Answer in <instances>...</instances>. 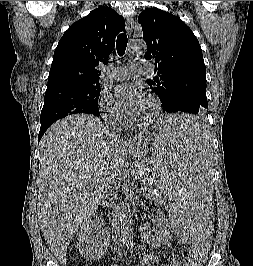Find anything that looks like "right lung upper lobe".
<instances>
[{
  "instance_id": "obj_1",
  "label": "right lung upper lobe",
  "mask_w": 253,
  "mask_h": 266,
  "mask_svg": "<svg viewBox=\"0 0 253 266\" xmlns=\"http://www.w3.org/2000/svg\"><path fill=\"white\" fill-rule=\"evenodd\" d=\"M122 16L109 7L93 10L74 23L54 52L47 90L99 83V64L108 62L116 35L124 30Z\"/></svg>"
}]
</instances>
